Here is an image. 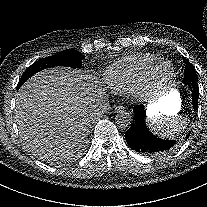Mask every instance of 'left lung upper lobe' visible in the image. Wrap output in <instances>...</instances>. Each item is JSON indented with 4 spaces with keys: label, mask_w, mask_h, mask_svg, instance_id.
Segmentation results:
<instances>
[{
    "label": "left lung upper lobe",
    "mask_w": 207,
    "mask_h": 207,
    "mask_svg": "<svg viewBox=\"0 0 207 207\" xmlns=\"http://www.w3.org/2000/svg\"><path fill=\"white\" fill-rule=\"evenodd\" d=\"M183 61L185 63L184 83L188 85L191 82L198 81V76L195 68L185 57H183Z\"/></svg>",
    "instance_id": "obj_1"
}]
</instances>
